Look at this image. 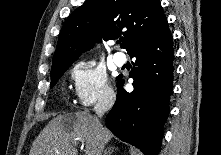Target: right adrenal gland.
Masks as SVG:
<instances>
[{"mask_svg": "<svg viewBox=\"0 0 221 155\" xmlns=\"http://www.w3.org/2000/svg\"><path fill=\"white\" fill-rule=\"evenodd\" d=\"M117 150H118L117 147L110 146V147L105 149L104 155H113V153L116 152Z\"/></svg>", "mask_w": 221, "mask_h": 155, "instance_id": "1", "label": "right adrenal gland"}]
</instances>
